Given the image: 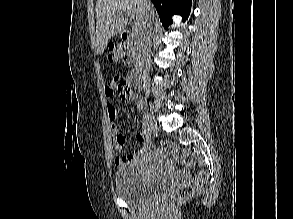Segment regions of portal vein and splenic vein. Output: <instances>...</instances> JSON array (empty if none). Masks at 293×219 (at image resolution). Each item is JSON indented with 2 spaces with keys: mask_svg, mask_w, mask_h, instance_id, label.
I'll return each instance as SVG.
<instances>
[{
  "mask_svg": "<svg viewBox=\"0 0 293 219\" xmlns=\"http://www.w3.org/2000/svg\"><path fill=\"white\" fill-rule=\"evenodd\" d=\"M126 17L131 18L132 19V15L130 13H125L124 14ZM134 28V27H133Z\"/></svg>",
  "mask_w": 293,
  "mask_h": 219,
  "instance_id": "portal-vein-and-splenic-vein-1",
  "label": "portal vein and splenic vein"
}]
</instances>
